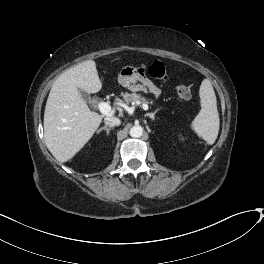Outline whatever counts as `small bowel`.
<instances>
[{"mask_svg":"<svg viewBox=\"0 0 264 264\" xmlns=\"http://www.w3.org/2000/svg\"><path fill=\"white\" fill-rule=\"evenodd\" d=\"M149 90L156 96H158L160 94V90L157 87H155L154 85H150Z\"/></svg>","mask_w":264,"mask_h":264,"instance_id":"obj_1","label":"small bowel"}]
</instances>
